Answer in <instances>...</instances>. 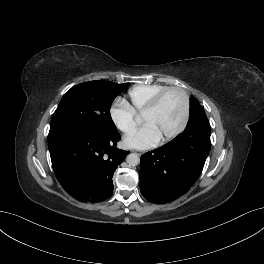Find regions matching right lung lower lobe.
<instances>
[{
	"instance_id": "right-lung-lower-lobe-1",
	"label": "right lung lower lobe",
	"mask_w": 264,
	"mask_h": 264,
	"mask_svg": "<svg viewBox=\"0 0 264 264\" xmlns=\"http://www.w3.org/2000/svg\"><path fill=\"white\" fill-rule=\"evenodd\" d=\"M118 132L66 134L48 142L52 166L62 187L82 202H100L113 193L112 177L129 152L116 148Z\"/></svg>"
}]
</instances>
